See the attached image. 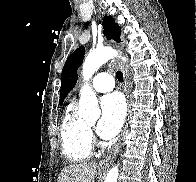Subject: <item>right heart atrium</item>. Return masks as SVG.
Returning a JSON list of instances; mask_svg holds the SVG:
<instances>
[{
  "label": "right heart atrium",
  "instance_id": "1",
  "mask_svg": "<svg viewBox=\"0 0 196 182\" xmlns=\"http://www.w3.org/2000/svg\"><path fill=\"white\" fill-rule=\"evenodd\" d=\"M89 134H90V138L92 137V133H91V131H89Z\"/></svg>",
  "mask_w": 196,
  "mask_h": 182
}]
</instances>
